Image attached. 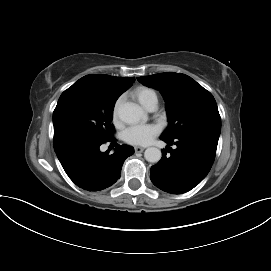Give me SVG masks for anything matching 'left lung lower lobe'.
I'll return each instance as SVG.
<instances>
[{"label":"left lung lower lobe","mask_w":271,"mask_h":271,"mask_svg":"<svg viewBox=\"0 0 271 271\" xmlns=\"http://www.w3.org/2000/svg\"><path fill=\"white\" fill-rule=\"evenodd\" d=\"M165 141L169 146L174 143L177 148L166 157L163 150L162 159L151 167V181L159 189L182 194L198 185L210 171L215 159L219 135L208 133L186 134L176 139Z\"/></svg>","instance_id":"left-lung-lower-lobe-1"}]
</instances>
